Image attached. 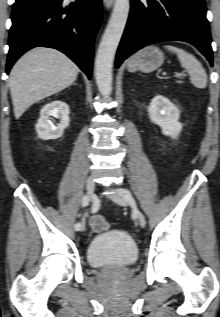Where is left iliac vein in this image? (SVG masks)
I'll use <instances>...</instances> for the list:
<instances>
[{
    "mask_svg": "<svg viewBox=\"0 0 220 317\" xmlns=\"http://www.w3.org/2000/svg\"><path fill=\"white\" fill-rule=\"evenodd\" d=\"M113 190L116 192V194L111 196L112 199L114 200V202H116L117 204H119L121 206H127V205H131L132 204L133 199H132L131 196H129V198H125L121 189L114 188ZM135 215H136V217L138 219V222H139L140 226L141 227H145L146 219H145V216L143 215V213L140 210L136 209L135 210Z\"/></svg>",
    "mask_w": 220,
    "mask_h": 317,
    "instance_id": "4c4485c4",
    "label": "left iliac vein"
}]
</instances>
